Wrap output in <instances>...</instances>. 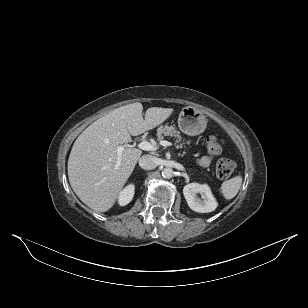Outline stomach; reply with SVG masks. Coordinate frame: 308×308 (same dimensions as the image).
<instances>
[{
	"label": "stomach",
	"mask_w": 308,
	"mask_h": 308,
	"mask_svg": "<svg viewBox=\"0 0 308 308\" xmlns=\"http://www.w3.org/2000/svg\"><path fill=\"white\" fill-rule=\"evenodd\" d=\"M206 126L205 115L194 107H185L179 114L178 127L186 135L197 136L204 132Z\"/></svg>",
	"instance_id": "1"
}]
</instances>
